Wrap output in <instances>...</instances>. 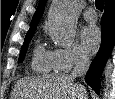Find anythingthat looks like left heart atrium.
I'll list each match as a JSON object with an SVG mask.
<instances>
[{"label":"left heart atrium","mask_w":115,"mask_h":99,"mask_svg":"<svg viewBox=\"0 0 115 99\" xmlns=\"http://www.w3.org/2000/svg\"><path fill=\"white\" fill-rule=\"evenodd\" d=\"M81 41L86 52L94 53L97 51L101 42V34L98 27L94 25L85 27L81 33Z\"/></svg>","instance_id":"left-heart-atrium-1"}]
</instances>
